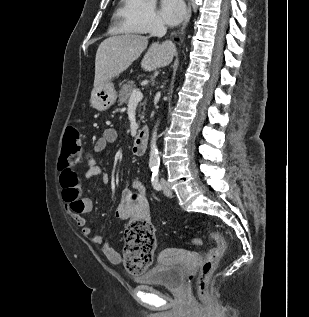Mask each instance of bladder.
Here are the masks:
<instances>
[{
	"label": "bladder",
	"mask_w": 309,
	"mask_h": 317,
	"mask_svg": "<svg viewBox=\"0 0 309 317\" xmlns=\"http://www.w3.org/2000/svg\"><path fill=\"white\" fill-rule=\"evenodd\" d=\"M138 284L158 285L167 289H178L184 281L180 264H157L135 277Z\"/></svg>",
	"instance_id": "1"
}]
</instances>
